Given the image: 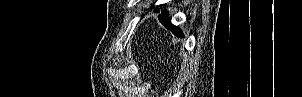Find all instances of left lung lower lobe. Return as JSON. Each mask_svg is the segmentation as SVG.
I'll use <instances>...</instances> for the list:
<instances>
[{
  "mask_svg": "<svg viewBox=\"0 0 302 97\" xmlns=\"http://www.w3.org/2000/svg\"><path fill=\"white\" fill-rule=\"evenodd\" d=\"M154 12H159V10L155 9ZM158 17L162 24L165 25L168 29H170L175 35L183 37L181 30L170 23L169 16L166 10L162 11Z\"/></svg>",
  "mask_w": 302,
  "mask_h": 97,
  "instance_id": "left-lung-lower-lobe-1",
  "label": "left lung lower lobe"
}]
</instances>
